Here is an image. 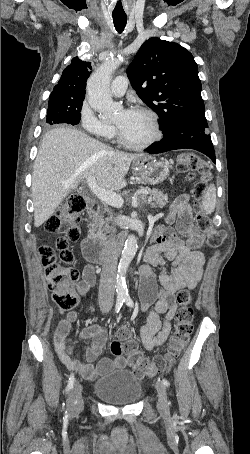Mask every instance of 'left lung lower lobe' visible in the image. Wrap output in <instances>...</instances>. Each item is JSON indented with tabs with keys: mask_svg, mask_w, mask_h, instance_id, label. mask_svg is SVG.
Segmentation results:
<instances>
[{
	"mask_svg": "<svg viewBox=\"0 0 250 454\" xmlns=\"http://www.w3.org/2000/svg\"><path fill=\"white\" fill-rule=\"evenodd\" d=\"M208 124L204 115L185 118L172 125L161 141L150 145L146 151L150 154L163 153L175 149H195L207 155L216 163L215 152Z\"/></svg>",
	"mask_w": 250,
	"mask_h": 454,
	"instance_id": "1",
	"label": "left lung lower lobe"
}]
</instances>
